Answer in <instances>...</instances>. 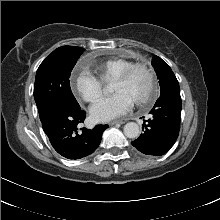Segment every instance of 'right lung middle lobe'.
Masks as SVG:
<instances>
[{
	"instance_id": "obj_1",
	"label": "right lung middle lobe",
	"mask_w": 220,
	"mask_h": 220,
	"mask_svg": "<svg viewBox=\"0 0 220 220\" xmlns=\"http://www.w3.org/2000/svg\"><path fill=\"white\" fill-rule=\"evenodd\" d=\"M83 51L81 47H59L39 66L34 84V98L40 119L57 108L80 107L71 92L69 77Z\"/></svg>"
}]
</instances>
